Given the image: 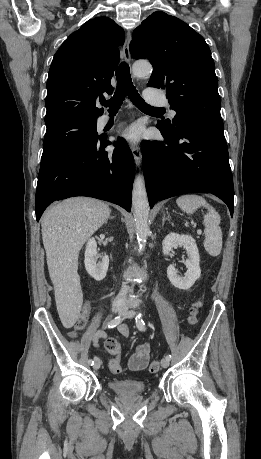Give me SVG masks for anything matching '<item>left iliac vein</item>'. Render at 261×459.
Here are the masks:
<instances>
[{
	"mask_svg": "<svg viewBox=\"0 0 261 459\" xmlns=\"http://www.w3.org/2000/svg\"><path fill=\"white\" fill-rule=\"evenodd\" d=\"M122 314L125 315V317L127 318H135V316L137 315L136 312H134L133 310H130L128 309L127 307H124L123 311H122ZM161 365L163 368H167L169 366V359L168 358H163L161 360Z\"/></svg>",
	"mask_w": 261,
	"mask_h": 459,
	"instance_id": "4c4485c4",
	"label": "left iliac vein"
}]
</instances>
